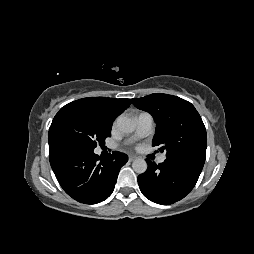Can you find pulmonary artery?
Wrapping results in <instances>:
<instances>
[{
  "label": "pulmonary artery",
  "mask_w": 254,
  "mask_h": 254,
  "mask_svg": "<svg viewBox=\"0 0 254 254\" xmlns=\"http://www.w3.org/2000/svg\"><path fill=\"white\" fill-rule=\"evenodd\" d=\"M153 127V117L151 114L143 112L136 118V131L133 140L145 137L150 134ZM165 155H160L157 159L159 163L164 162Z\"/></svg>",
  "instance_id": "obj_1"
}]
</instances>
